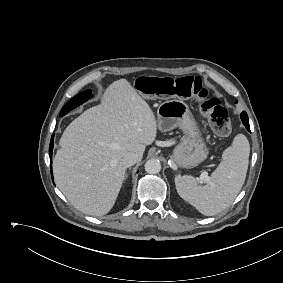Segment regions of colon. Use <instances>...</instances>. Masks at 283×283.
<instances>
[{
    "label": "colon",
    "instance_id": "1",
    "mask_svg": "<svg viewBox=\"0 0 283 283\" xmlns=\"http://www.w3.org/2000/svg\"><path fill=\"white\" fill-rule=\"evenodd\" d=\"M135 88L147 98H193L200 103V110L207 117L210 127L219 136L231 132L228 111L209 90L200 77L178 79L143 76L137 79Z\"/></svg>",
    "mask_w": 283,
    "mask_h": 283
}]
</instances>
